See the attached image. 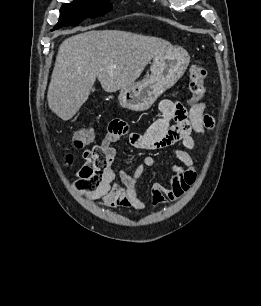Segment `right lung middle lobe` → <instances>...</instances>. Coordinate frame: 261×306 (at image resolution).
Instances as JSON below:
<instances>
[{
    "instance_id": "1",
    "label": "right lung middle lobe",
    "mask_w": 261,
    "mask_h": 306,
    "mask_svg": "<svg viewBox=\"0 0 261 306\" xmlns=\"http://www.w3.org/2000/svg\"><path fill=\"white\" fill-rule=\"evenodd\" d=\"M110 0H74L72 3L64 4L60 10V18L54 29L63 26L77 25L85 17L95 18L112 9Z\"/></svg>"
}]
</instances>
